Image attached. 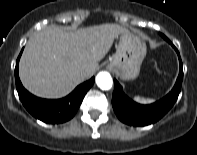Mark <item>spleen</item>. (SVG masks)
Returning <instances> with one entry per match:
<instances>
[{
  "label": "spleen",
  "instance_id": "obj_1",
  "mask_svg": "<svg viewBox=\"0 0 197 155\" xmlns=\"http://www.w3.org/2000/svg\"><path fill=\"white\" fill-rule=\"evenodd\" d=\"M134 99H135L136 102L142 103V104L152 103L154 101L153 99L142 98V97H139V96H136Z\"/></svg>",
  "mask_w": 197,
  "mask_h": 155
}]
</instances>
